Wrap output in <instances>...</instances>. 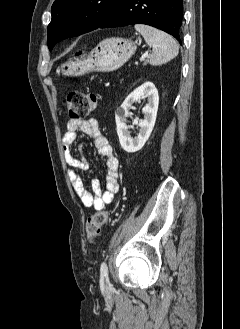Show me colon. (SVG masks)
Returning <instances> with one entry per match:
<instances>
[{
	"label": "colon",
	"instance_id": "colon-1",
	"mask_svg": "<svg viewBox=\"0 0 240 329\" xmlns=\"http://www.w3.org/2000/svg\"><path fill=\"white\" fill-rule=\"evenodd\" d=\"M64 103L67 107L69 117L73 120H78L86 117L96 108L98 96L95 93L87 91H71L66 94ZM108 217V211H99L87 219L86 232L89 243H92L98 236Z\"/></svg>",
	"mask_w": 240,
	"mask_h": 329
}]
</instances>
